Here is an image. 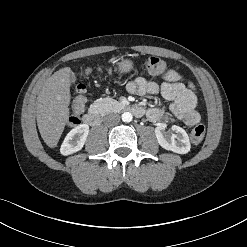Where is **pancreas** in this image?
<instances>
[{
	"instance_id": "obj_1",
	"label": "pancreas",
	"mask_w": 247,
	"mask_h": 247,
	"mask_svg": "<svg viewBox=\"0 0 247 247\" xmlns=\"http://www.w3.org/2000/svg\"><path fill=\"white\" fill-rule=\"evenodd\" d=\"M94 106L100 113L117 111L123 107L120 102L109 97L97 99Z\"/></svg>"
}]
</instances>
